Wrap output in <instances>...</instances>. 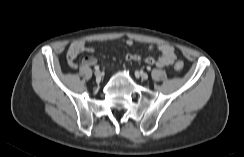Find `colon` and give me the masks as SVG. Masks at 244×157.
Listing matches in <instances>:
<instances>
[{
    "label": "colon",
    "mask_w": 244,
    "mask_h": 157,
    "mask_svg": "<svg viewBox=\"0 0 244 157\" xmlns=\"http://www.w3.org/2000/svg\"><path fill=\"white\" fill-rule=\"evenodd\" d=\"M183 67H184V63H183L182 61H177V62H175V64H174V68H175L176 70H182Z\"/></svg>",
    "instance_id": "1"
}]
</instances>
